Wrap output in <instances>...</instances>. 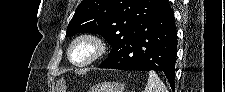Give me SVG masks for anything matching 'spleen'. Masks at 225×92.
Segmentation results:
<instances>
[{"instance_id":"3e777b00","label":"spleen","mask_w":225,"mask_h":92,"mask_svg":"<svg viewBox=\"0 0 225 92\" xmlns=\"http://www.w3.org/2000/svg\"><path fill=\"white\" fill-rule=\"evenodd\" d=\"M148 75V81L144 92H168L165 84L154 71H150Z\"/></svg>"}]
</instances>
